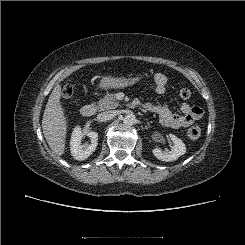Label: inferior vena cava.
Masks as SVG:
<instances>
[{"mask_svg":"<svg viewBox=\"0 0 245 245\" xmlns=\"http://www.w3.org/2000/svg\"><path fill=\"white\" fill-rule=\"evenodd\" d=\"M115 116H116V112L115 111H105V112L99 113L97 115V119L100 122H106L108 120H111Z\"/></svg>","mask_w":245,"mask_h":245,"instance_id":"602c4592","label":"inferior vena cava"}]
</instances>
